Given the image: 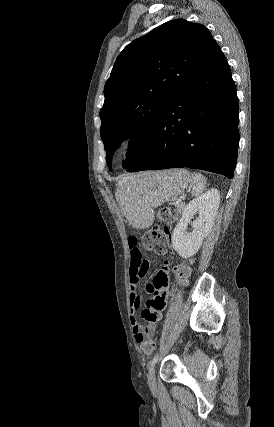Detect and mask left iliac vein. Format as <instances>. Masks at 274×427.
Returning <instances> with one entry per match:
<instances>
[{
	"instance_id": "4c4485c4",
	"label": "left iliac vein",
	"mask_w": 274,
	"mask_h": 427,
	"mask_svg": "<svg viewBox=\"0 0 274 427\" xmlns=\"http://www.w3.org/2000/svg\"><path fill=\"white\" fill-rule=\"evenodd\" d=\"M148 385H149L151 390L156 389L155 368L150 370V373L148 374Z\"/></svg>"
}]
</instances>
